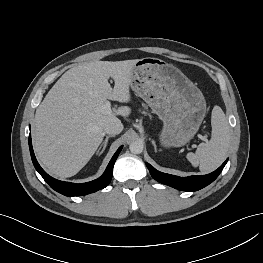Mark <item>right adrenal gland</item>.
Listing matches in <instances>:
<instances>
[{"label": "right adrenal gland", "mask_w": 263, "mask_h": 263, "mask_svg": "<svg viewBox=\"0 0 263 263\" xmlns=\"http://www.w3.org/2000/svg\"><path fill=\"white\" fill-rule=\"evenodd\" d=\"M111 137H114V135H108V136H106L105 140H104L103 143L100 145L97 154L100 155V154H102V153L104 152V150H105V148H106V146H107V144H108V140H109V138H111ZM101 148H102V149H101ZM100 150H101V151H100Z\"/></svg>", "instance_id": "right-adrenal-gland-1"}]
</instances>
